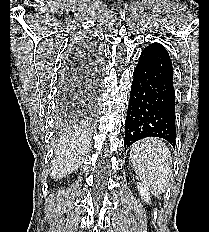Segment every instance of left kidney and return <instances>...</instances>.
<instances>
[{"label":"left kidney","mask_w":209,"mask_h":232,"mask_svg":"<svg viewBox=\"0 0 209 232\" xmlns=\"http://www.w3.org/2000/svg\"><path fill=\"white\" fill-rule=\"evenodd\" d=\"M137 188H138V190L140 192V195H141L142 199L145 202L148 203L149 200H150V192H149L150 189H149V187L146 186L145 184L139 182V183H137Z\"/></svg>","instance_id":"obj_1"}]
</instances>
